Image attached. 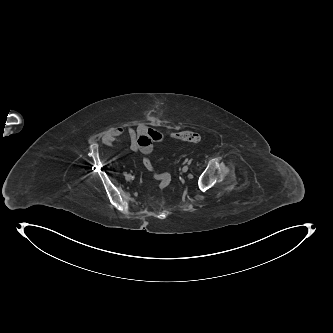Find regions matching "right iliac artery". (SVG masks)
I'll return each mask as SVG.
<instances>
[{
  "label": "right iliac artery",
  "instance_id": "right-iliac-artery-1",
  "mask_svg": "<svg viewBox=\"0 0 333 333\" xmlns=\"http://www.w3.org/2000/svg\"><path fill=\"white\" fill-rule=\"evenodd\" d=\"M128 174H127V172H124V176H127Z\"/></svg>",
  "mask_w": 333,
  "mask_h": 333
}]
</instances>
